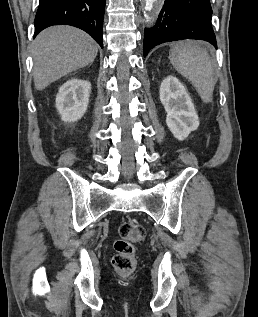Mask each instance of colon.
I'll list each match as a JSON object with an SVG mask.
<instances>
[{
	"instance_id": "5ec220e1",
	"label": "colon",
	"mask_w": 258,
	"mask_h": 317,
	"mask_svg": "<svg viewBox=\"0 0 258 317\" xmlns=\"http://www.w3.org/2000/svg\"><path fill=\"white\" fill-rule=\"evenodd\" d=\"M144 237L142 226L133 221L120 224L118 238L114 243L112 265L117 272L129 273L136 267L135 244Z\"/></svg>"
}]
</instances>
